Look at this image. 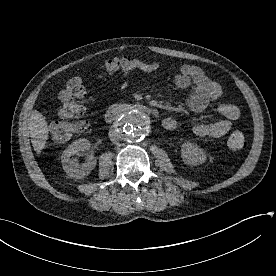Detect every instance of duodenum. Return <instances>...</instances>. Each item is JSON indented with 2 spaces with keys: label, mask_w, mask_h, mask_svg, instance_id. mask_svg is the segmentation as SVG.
Masks as SVG:
<instances>
[{
  "label": "duodenum",
  "mask_w": 276,
  "mask_h": 276,
  "mask_svg": "<svg viewBox=\"0 0 276 276\" xmlns=\"http://www.w3.org/2000/svg\"><path fill=\"white\" fill-rule=\"evenodd\" d=\"M135 109L139 110V111L146 112L148 114L155 115V116L158 115V111L156 109L149 107V106L142 105V104H132V105L119 104V105H114V106L110 107L106 111L105 120L108 123L115 122L124 113L131 111V110H135Z\"/></svg>",
  "instance_id": "obj_1"
}]
</instances>
